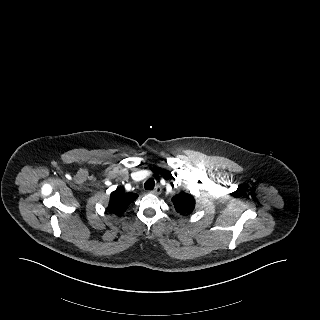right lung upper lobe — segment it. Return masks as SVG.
Masks as SVG:
<instances>
[{
	"label": "right lung upper lobe",
	"mask_w": 320,
	"mask_h": 320,
	"mask_svg": "<svg viewBox=\"0 0 320 320\" xmlns=\"http://www.w3.org/2000/svg\"><path fill=\"white\" fill-rule=\"evenodd\" d=\"M137 198L138 195H136L135 193H125L124 190L117 188L110 195V201L107 207V211L120 216Z\"/></svg>",
	"instance_id": "obj_1"
}]
</instances>
